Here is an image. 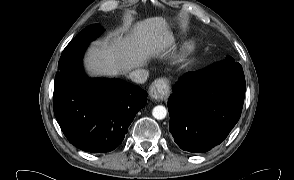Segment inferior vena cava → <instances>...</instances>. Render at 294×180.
<instances>
[{
    "label": "inferior vena cava",
    "mask_w": 294,
    "mask_h": 180,
    "mask_svg": "<svg viewBox=\"0 0 294 180\" xmlns=\"http://www.w3.org/2000/svg\"><path fill=\"white\" fill-rule=\"evenodd\" d=\"M148 76L149 72L142 68L135 69L129 74V77L132 81L140 84L146 82Z\"/></svg>",
    "instance_id": "602c4592"
}]
</instances>
